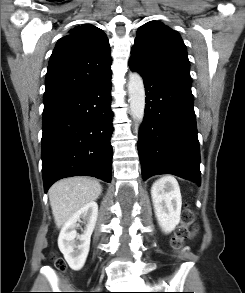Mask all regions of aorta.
Here are the masks:
<instances>
[{"instance_id":"762f6f07","label":"aorta","mask_w":245,"mask_h":293,"mask_svg":"<svg viewBox=\"0 0 245 293\" xmlns=\"http://www.w3.org/2000/svg\"><path fill=\"white\" fill-rule=\"evenodd\" d=\"M128 93L131 114L137 121L142 122L145 112V88L138 73L129 74Z\"/></svg>"}]
</instances>
